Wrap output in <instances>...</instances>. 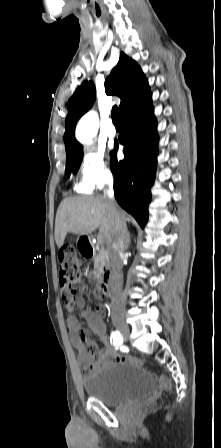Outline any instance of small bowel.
<instances>
[{"label":"small bowel","instance_id":"obj_1","mask_svg":"<svg viewBox=\"0 0 221 448\" xmlns=\"http://www.w3.org/2000/svg\"><path fill=\"white\" fill-rule=\"evenodd\" d=\"M95 294L97 297L102 296L100 292ZM64 307L68 313L66 324L69 329V338L79 350L78 362L83 373L94 372L111 359L116 362H123V356L117 354L110 347L106 336V327L102 319L105 313L103 305H98L94 311L86 310L85 300L82 296L67 294L64 297ZM75 309L80 311L81 319L73 314ZM91 332L103 342L105 346L103 350H98L95 343L90 341Z\"/></svg>","mask_w":221,"mask_h":448}]
</instances>
